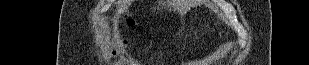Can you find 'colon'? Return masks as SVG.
Here are the masks:
<instances>
[{
    "label": "colon",
    "mask_w": 309,
    "mask_h": 65,
    "mask_svg": "<svg viewBox=\"0 0 309 65\" xmlns=\"http://www.w3.org/2000/svg\"><path fill=\"white\" fill-rule=\"evenodd\" d=\"M126 23H127L128 26H133V24H134L132 19H127Z\"/></svg>",
    "instance_id": "obj_1"
}]
</instances>
